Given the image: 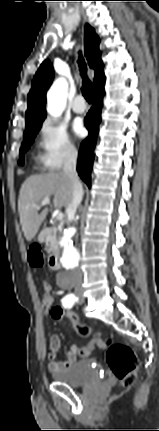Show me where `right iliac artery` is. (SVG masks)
<instances>
[{
	"instance_id": "82829eb1",
	"label": "right iliac artery",
	"mask_w": 159,
	"mask_h": 431,
	"mask_svg": "<svg viewBox=\"0 0 159 431\" xmlns=\"http://www.w3.org/2000/svg\"><path fill=\"white\" fill-rule=\"evenodd\" d=\"M77 300L74 294H68L62 299V304L65 308H71Z\"/></svg>"
}]
</instances>
